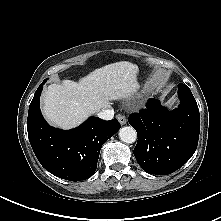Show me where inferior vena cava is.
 I'll list each match as a JSON object with an SVG mask.
<instances>
[{
    "instance_id": "1",
    "label": "inferior vena cava",
    "mask_w": 221,
    "mask_h": 221,
    "mask_svg": "<svg viewBox=\"0 0 221 221\" xmlns=\"http://www.w3.org/2000/svg\"><path fill=\"white\" fill-rule=\"evenodd\" d=\"M97 116L103 120H111L114 117V110L112 108L103 109L97 113Z\"/></svg>"
}]
</instances>
